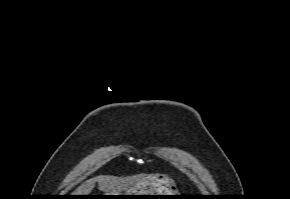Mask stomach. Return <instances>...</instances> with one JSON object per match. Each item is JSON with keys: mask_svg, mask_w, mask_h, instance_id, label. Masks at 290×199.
I'll use <instances>...</instances> for the list:
<instances>
[{"mask_svg": "<svg viewBox=\"0 0 290 199\" xmlns=\"http://www.w3.org/2000/svg\"><path fill=\"white\" fill-rule=\"evenodd\" d=\"M108 195H176L169 188L167 181L156 178H144L135 183L123 193ZM116 199H154L172 198L171 196H113Z\"/></svg>", "mask_w": 290, "mask_h": 199, "instance_id": "stomach-1", "label": "stomach"}]
</instances>
